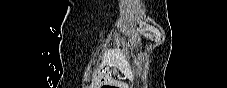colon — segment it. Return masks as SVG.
I'll list each match as a JSON object with an SVG mask.
<instances>
[{"label": "colon", "mask_w": 227, "mask_h": 88, "mask_svg": "<svg viewBox=\"0 0 227 88\" xmlns=\"http://www.w3.org/2000/svg\"><path fill=\"white\" fill-rule=\"evenodd\" d=\"M103 87L112 88V87H114V86H111V85H105V86H103Z\"/></svg>", "instance_id": "colon-1"}]
</instances>
